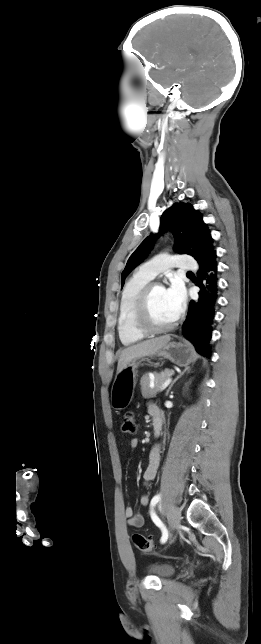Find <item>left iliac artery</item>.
<instances>
[{
    "label": "left iliac artery",
    "mask_w": 261,
    "mask_h": 644,
    "mask_svg": "<svg viewBox=\"0 0 261 644\" xmlns=\"http://www.w3.org/2000/svg\"><path fill=\"white\" fill-rule=\"evenodd\" d=\"M161 496L160 494L155 495L152 500H151V518L153 522L161 529L162 531V537L160 539L161 543H165L168 539V530L165 527V525L162 523V521L159 519V517L155 514L153 508L154 506L160 501Z\"/></svg>",
    "instance_id": "obj_1"
}]
</instances>
